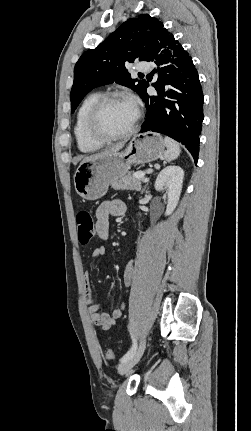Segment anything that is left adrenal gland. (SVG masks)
I'll list each match as a JSON object with an SVG mask.
<instances>
[{
    "mask_svg": "<svg viewBox=\"0 0 251 431\" xmlns=\"http://www.w3.org/2000/svg\"><path fill=\"white\" fill-rule=\"evenodd\" d=\"M147 185H148V182L146 183V185L144 186L143 190L141 191L142 193L146 190Z\"/></svg>",
    "mask_w": 251,
    "mask_h": 431,
    "instance_id": "1",
    "label": "left adrenal gland"
}]
</instances>
